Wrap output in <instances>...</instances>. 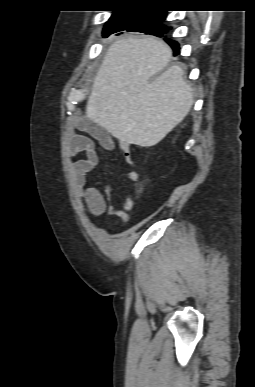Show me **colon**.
Returning a JSON list of instances; mask_svg holds the SVG:
<instances>
[{
	"label": "colon",
	"mask_w": 255,
	"mask_h": 387,
	"mask_svg": "<svg viewBox=\"0 0 255 387\" xmlns=\"http://www.w3.org/2000/svg\"><path fill=\"white\" fill-rule=\"evenodd\" d=\"M139 191H142V188H139Z\"/></svg>",
	"instance_id": "5ec220e1"
}]
</instances>
